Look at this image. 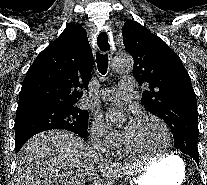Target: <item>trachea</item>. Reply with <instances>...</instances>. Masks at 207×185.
Wrapping results in <instances>:
<instances>
[{
    "instance_id": "trachea-1",
    "label": "trachea",
    "mask_w": 207,
    "mask_h": 185,
    "mask_svg": "<svg viewBox=\"0 0 207 185\" xmlns=\"http://www.w3.org/2000/svg\"><path fill=\"white\" fill-rule=\"evenodd\" d=\"M98 42H99L100 49L105 52L109 48L107 33L101 32L98 35ZM96 61H97L99 72L102 73V75H105V73L107 72V68H108V56L106 54L103 55L101 53H97Z\"/></svg>"
}]
</instances>
